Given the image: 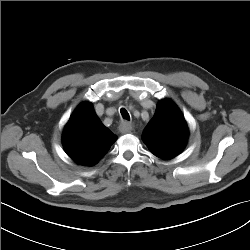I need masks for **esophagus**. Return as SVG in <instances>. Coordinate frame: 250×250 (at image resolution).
<instances>
[{
    "label": "esophagus",
    "mask_w": 250,
    "mask_h": 250,
    "mask_svg": "<svg viewBox=\"0 0 250 250\" xmlns=\"http://www.w3.org/2000/svg\"><path fill=\"white\" fill-rule=\"evenodd\" d=\"M133 130L132 124L130 122L127 121H123L121 122V124L119 125V131L122 134H127V133H131Z\"/></svg>",
    "instance_id": "esophagus-1"
}]
</instances>
